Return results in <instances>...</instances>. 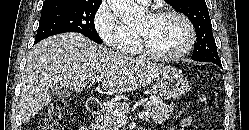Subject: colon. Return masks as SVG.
Returning <instances> with one entry per match:
<instances>
[{
  "instance_id": "colon-1",
  "label": "colon",
  "mask_w": 249,
  "mask_h": 130,
  "mask_svg": "<svg viewBox=\"0 0 249 130\" xmlns=\"http://www.w3.org/2000/svg\"><path fill=\"white\" fill-rule=\"evenodd\" d=\"M200 100L205 103V96L201 94ZM63 114L64 102L56 99L44 110L38 130H62Z\"/></svg>"
}]
</instances>
